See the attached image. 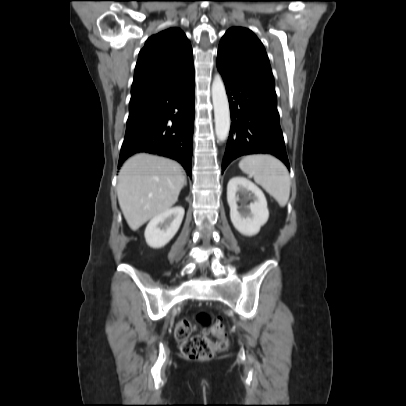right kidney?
Segmentation results:
<instances>
[{"mask_svg":"<svg viewBox=\"0 0 406 406\" xmlns=\"http://www.w3.org/2000/svg\"><path fill=\"white\" fill-rule=\"evenodd\" d=\"M184 213V208L176 206L152 218L144 233L147 244L152 248L165 246L177 233Z\"/></svg>","mask_w":406,"mask_h":406,"instance_id":"1","label":"right kidney"}]
</instances>
